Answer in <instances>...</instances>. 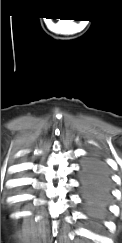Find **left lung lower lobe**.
Here are the masks:
<instances>
[{
  "mask_svg": "<svg viewBox=\"0 0 122 243\" xmlns=\"http://www.w3.org/2000/svg\"><path fill=\"white\" fill-rule=\"evenodd\" d=\"M80 192L90 223L98 227L107 213L111 196L110 175L99 158L91 156L82 163Z\"/></svg>",
  "mask_w": 122,
  "mask_h": 243,
  "instance_id": "1",
  "label": "left lung lower lobe"
}]
</instances>
